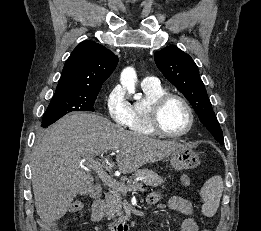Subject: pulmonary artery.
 Masks as SVG:
<instances>
[{
  "instance_id": "1",
  "label": "pulmonary artery",
  "mask_w": 261,
  "mask_h": 231,
  "mask_svg": "<svg viewBox=\"0 0 261 231\" xmlns=\"http://www.w3.org/2000/svg\"><path fill=\"white\" fill-rule=\"evenodd\" d=\"M157 83V78L154 76H147L142 80V86H155Z\"/></svg>"
}]
</instances>
